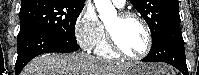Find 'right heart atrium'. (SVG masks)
<instances>
[{"label":"right heart atrium","mask_w":199,"mask_h":75,"mask_svg":"<svg viewBox=\"0 0 199 75\" xmlns=\"http://www.w3.org/2000/svg\"><path fill=\"white\" fill-rule=\"evenodd\" d=\"M75 36L80 46L94 49L104 37V28L91 8H84L75 23Z\"/></svg>","instance_id":"1"}]
</instances>
